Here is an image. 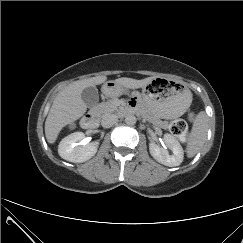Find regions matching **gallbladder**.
Masks as SVG:
<instances>
[{"label":"gallbladder","mask_w":243,"mask_h":243,"mask_svg":"<svg viewBox=\"0 0 243 243\" xmlns=\"http://www.w3.org/2000/svg\"><path fill=\"white\" fill-rule=\"evenodd\" d=\"M81 97L86 106L89 108L95 106L99 101L98 90L95 86L85 88L82 91Z\"/></svg>","instance_id":"1"}]
</instances>
